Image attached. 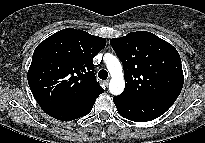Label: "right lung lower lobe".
Listing matches in <instances>:
<instances>
[{"mask_svg": "<svg viewBox=\"0 0 205 143\" xmlns=\"http://www.w3.org/2000/svg\"><path fill=\"white\" fill-rule=\"evenodd\" d=\"M98 96L99 95L94 96L90 101L86 102L82 106L75 109H43V110L51 117L56 118L58 120L72 121L74 119L87 115L91 111L95 103V100Z\"/></svg>", "mask_w": 205, "mask_h": 143, "instance_id": "1", "label": "right lung lower lobe"}]
</instances>
